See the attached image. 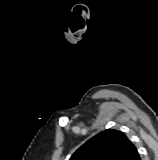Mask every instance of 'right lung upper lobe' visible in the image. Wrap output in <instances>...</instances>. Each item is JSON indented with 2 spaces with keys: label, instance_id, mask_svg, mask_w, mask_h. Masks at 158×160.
I'll list each match as a JSON object with an SVG mask.
<instances>
[{
  "label": "right lung upper lobe",
  "instance_id": "right-lung-upper-lobe-1",
  "mask_svg": "<svg viewBox=\"0 0 158 160\" xmlns=\"http://www.w3.org/2000/svg\"><path fill=\"white\" fill-rule=\"evenodd\" d=\"M139 153L126 135L108 129L88 140L69 160H139Z\"/></svg>",
  "mask_w": 158,
  "mask_h": 160
}]
</instances>
